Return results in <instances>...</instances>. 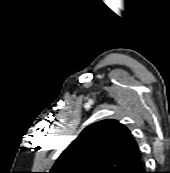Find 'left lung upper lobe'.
I'll use <instances>...</instances> for the list:
<instances>
[{
    "label": "left lung upper lobe",
    "mask_w": 170,
    "mask_h": 173,
    "mask_svg": "<svg viewBox=\"0 0 170 173\" xmlns=\"http://www.w3.org/2000/svg\"><path fill=\"white\" fill-rule=\"evenodd\" d=\"M140 157L130 131L116 120L86 127L62 152L49 173H117Z\"/></svg>",
    "instance_id": "1"
}]
</instances>
